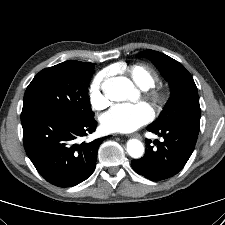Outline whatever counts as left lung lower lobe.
<instances>
[{"mask_svg": "<svg viewBox=\"0 0 225 225\" xmlns=\"http://www.w3.org/2000/svg\"><path fill=\"white\" fill-rule=\"evenodd\" d=\"M147 130L164 138L157 148L146 139L145 155L132 160V168L140 175L152 181H161L177 174L191 156L199 133V128L171 125L161 128L148 126Z\"/></svg>", "mask_w": 225, "mask_h": 225, "instance_id": "1", "label": "left lung lower lobe"}]
</instances>
